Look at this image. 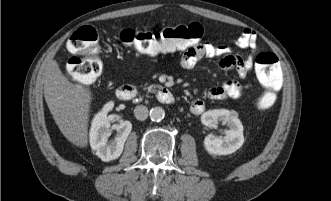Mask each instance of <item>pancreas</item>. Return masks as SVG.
<instances>
[{
    "label": "pancreas",
    "instance_id": "1",
    "mask_svg": "<svg viewBox=\"0 0 331 201\" xmlns=\"http://www.w3.org/2000/svg\"><path fill=\"white\" fill-rule=\"evenodd\" d=\"M157 86L156 85H150L148 87V92H154V89L156 88Z\"/></svg>",
    "mask_w": 331,
    "mask_h": 201
}]
</instances>
